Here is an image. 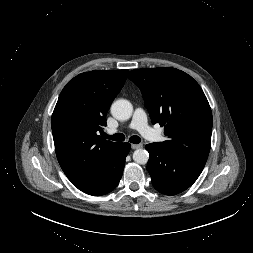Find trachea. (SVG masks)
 <instances>
[{
    "label": "trachea",
    "instance_id": "3493384b",
    "mask_svg": "<svg viewBox=\"0 0 253 253\" xmlns=\"http://www.w3.org/2000/svg\"><path fill=\"white\" fill-rule=\"evenodd\" d=\"M103 136L105 139H110L113 141H124L125 140V136L122 133H116L114 135L104 134ZM129 141L134 144H139L141 142V139L139 136L134 135V136L130 137Z\"/></svg>",
    "mask_w": 253,
    "mask_h": 253
}]
</instances>
